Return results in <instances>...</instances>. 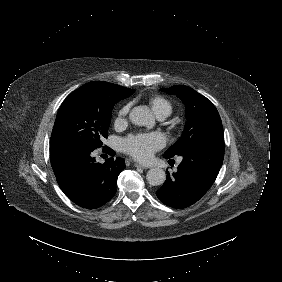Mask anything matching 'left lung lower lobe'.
<instances>
[{
  "instance_id": "obj_1",
  "label": "left lung lower lobe",
  "mask_w": 282,
  "mask_h": 282,
  "mask_svg": "<svg viewBox=\"0 0 282 282\" xmlns=\"http://www.w3.org/2000/svg\"><path fill=\"white\" fill-rule=\"evenodd\" d=\"M178 171L156 192L165 205L182 209L198 201L214 183L224 157V142H205L180 154Z\"/></svg>"
}]
</instances>
